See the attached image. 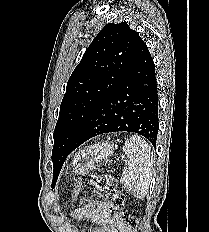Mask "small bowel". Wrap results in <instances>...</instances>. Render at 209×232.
<instances>
[{"mask_svg":"<svg viewBox=\"0 0 209 232\" xmlns=\"http://www.w3.org/2000/svg\"><path fill=\"white\" fill-rule=\"evenodd\" d=\"M73 217L77 220H90L98 227L91 232H130L119 220L113 218L108 202H90L83 208L76 210Z\"/></svg>","mask_w":209,"mask_h":232,"instance_id":"obj_1","label":"small bowel"}]
</instances>
